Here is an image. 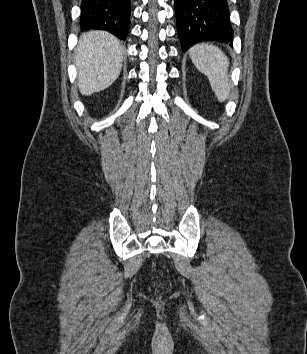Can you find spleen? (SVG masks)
Wrapping results in <instances>:
<instances>
[{"mask_svg":"<svg viewBox=\"0 0 307 354\" xmlns=\"http://www.w3.org/2000/svg\"><path fill=\"white\" fill-rule=\"evenodd\" d=\"M190 57L196 68L208 77L218 101H225L231 87L227 76V56L214 45L200 43L192 47Z\"/></svg>","mask_w":307,"mask_h":354,"instance_id":"spleen-1","label":"spleen"}]
</instances>
